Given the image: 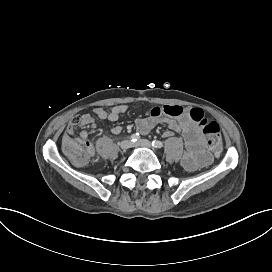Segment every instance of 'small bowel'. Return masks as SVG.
I'll use <instances>...</instances> for the list:
<instances>
[{
    "label": "small bowel",
    "instance_id": "1",
    "mask_svg": "<svg viewBox=\"0 0 272 272\" xmlns=\"http://www.w3.org/2000/svg\"><path fill=\"white\" fill-rule=\"evenodd\" d=\"M127 109L126 105L119 104L112 107L110 111L102 107H96L93 112L100 120L114 122L118 121ZM190 110L191 109H184L177 105H168L163 108L154 107L150 110L147 117L138 118L136 120V127L140 133L147 134L157 124L164 123L169 127V130L164 133L165 137L171 136L173 131L181 133L185 144L182 165L187 171L193 172L204 164L207 154L202 149L203 136L201 129L196 122L190 119ZM94 123L95 118L91 114H80L69 122L66 127V132H72L74 134L77 125L90 126ZM121 131L122 128L120 126H114L111 129L113 134H119ZM80 135L81 138H88L89 134L87 131H82Z\"/></svg>",
    "mask_w": 272,
    "mask_h": 272
}]
</instances>
